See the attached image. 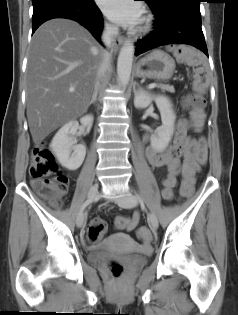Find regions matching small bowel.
<instances>
[{"label": "small bowel", "instance_id": "c3829d8e", "mask_svg": "<svg viewBox=\"0 0 238 315\" xmlns=\"http://www.w3.org/2000/svg\"><path fill=\"white\" fill-rule=\"evenodd\" d=\"M185 156L183 165L180 164V157ZM146 158L154 168H166L167 176L162 182V196L165 200L174 198V189L177 184V177L181 174L183 183L190 185L193 191L194 177L200 166L206 162L207 149L204 139H191L186 135V123L182 122L173 145L166 147L162 151H156L153 147L146 150ZM63 194V193H62ZM140 221V213L134 212L128 219L127 230L134 229ZM150 240L143 239L141 248L150 249Z\"/></svg>", "mask_w": 238, "mask_h": 315}]
</instances>
